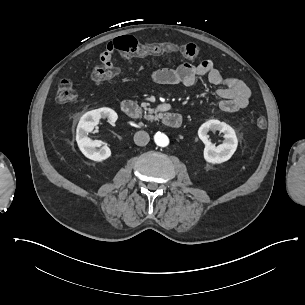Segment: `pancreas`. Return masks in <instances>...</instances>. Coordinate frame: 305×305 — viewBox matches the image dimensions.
Returning a JSON list of instances; mask_svg holds the SVG:
<instances>
[{
	"mask_svg": "<svg viewBox=\"0 0 305 305\" xmlns=\"http://www.w3.org/2000/svg\"><path fill=\"white\" fill-rule=\"evenodd\" d=\"M141 106L145 109L148 110V114L144 115V118L149 121L153 120H159V116L156 114V111L151 108H147L148 104L147 103H142ZM155 113V115H153Z\"/></svg>",
	"mask_w": 305,
	"mask_h": 305,
	"instance_id": "obj_1",
	"label": "pancreas"
}]
</instances>
